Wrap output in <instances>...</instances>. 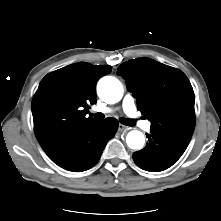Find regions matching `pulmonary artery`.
Returning a JSON list of instances; mask_svg holds the SVG:
<instances>
[{
	"mask_svg": "<svg viewBox=\"0 0 221 221\" xmlns=\"http://www.w3.org/2000/svg\"><path fill=\"white\" fill-rule=\"evenodd\" d=\"M123 110L129 117H131V119L134 121L135 124H137L138 126H140L141 128L145 130L150 129L151 127L150 122L142 121L138 118V114H137L136 106H135V99L130 93H127L123 98ZM97 111L103 112V113H109L111 110L109 108H101V109H98Z\"/></svg>",
	"mask_w": 221,
	"mask_h": 221,
	"instance_id": "e3ab8cb5",
	"label": "pulmonary artery"
}]
</instances>
